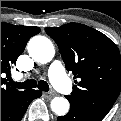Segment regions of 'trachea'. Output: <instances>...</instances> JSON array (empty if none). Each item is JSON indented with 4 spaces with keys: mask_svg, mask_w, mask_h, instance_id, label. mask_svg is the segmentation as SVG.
I'll list each match as a JSON object with an SVG mask.
<instances>
[{
    "mask_svg": "<svg viewBox=\"0 0 121 121\" xmlns=\"http://www.w3.org/2000/svg\"><path fill=\"white\" fill-rule=\"evenodd\" d=\"M9 85L19 89H32V88L38 87L42 91H45V92L49 91V85L44 80H40L36 82L34 79H30V80H26L23 83L14 82L11 80L9 81Z\"/></svg>",
    "mask_w": 121,
    "mask_h": 121,
    "instance_id": "1",
    "label": "trachea"
}]
</instances>
